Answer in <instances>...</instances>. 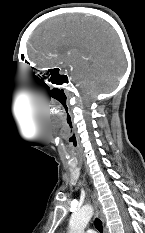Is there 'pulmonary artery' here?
I'll list each match as a JSON object with an SVG mask.
<instances>
[{
  "label": "pulmonary artery",
  "instance_id": "obj_1",
  "mask_svg": "<svg viewBox=\"0 0 145 233\" xmlns=\"http://www.w3.org/2000/svg\"><path fill=\"white\" fill-rule=\"evenodd\" d=\"M86 233H96L94 230H87Z\"/></svg>",
  "mask_w": 145,
  "mask_h": 233
}]
</instances>
